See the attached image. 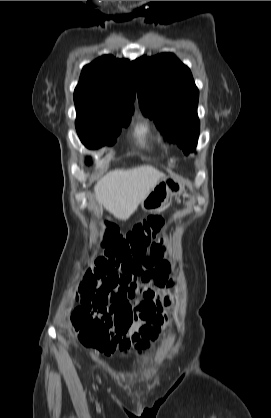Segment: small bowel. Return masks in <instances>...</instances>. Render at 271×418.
Masks as SVG:
<instances>
[{
  "label": "small bowel",
  "mask_w": 271,
  "mask_h": 418,
  "mask_svg": "<svg viewBox=\"0 0 271 418\" xmlns=\"http://www.w3.org/2000/svg\"><path fill=\"white\" fill-rule=\"evenodd\" d=\"M167 246V239L159 237L149 256L120 263L102 257L86 273L79 286L81 307L98 314L97 322L109 328L110 340L99 349L105 355L125 352L131 345L145 350L157 339L165 323L164 309L171 303L166 289L173 285ZM95 292V300L88 298Z\"/></svg>",
  "instance_id": "small-bowel-1"
}]
</instances>
